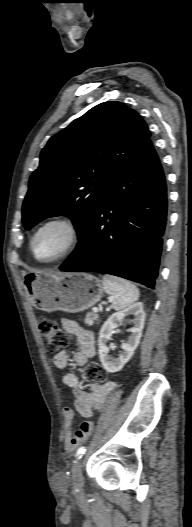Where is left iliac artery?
<instances>
[{
	"instance_id": "left-iliac-artery-1",
	"label": "left iliac artery",
	"mask_w": 192,
	"mask_h": 527,
	"mask_svg": "<svg viewBox=\"0 0 192 527\" xmlns=\"http://www.w3.org/2000/svg\"><path fill=\"white\" fill-rule=\"evenodd\" d=\"M85 451H86L85 447H83V446L80 447V448L77 450V452H76V457H77V458H81V457L83 456V454H85Z\"/></svg>"
}]
</instances>
